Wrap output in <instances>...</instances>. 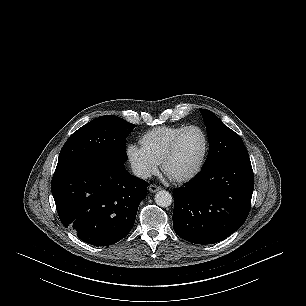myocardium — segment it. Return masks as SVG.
I'll use <instances>...</instances> for the list:
<instances>
[{
	"instance_id": "obj_1",
	"label": "myocardium",
	"mask_w": 306,
	"mask_h": 306,
	"mask_svg": "<svg viewBox=\"0 0 306 306\" xmlns=\"http://www.w3.org/2000/svg\"><path fill=\"white\" fill-rule=\"evenodd\" d=\"M190 129H197L201 132V134L203 135L204 138V151L201 157V160L199 162V164L197 165V167L189 174L181 176V177H177V178H171L170 179L174 182L177 183H184V182H188L193 180L194 178H196L201 171L204 168V165L206 163L207 157H208V153H209V148H210V141H209V137L208 134L206 133V131L199 125H187L185 126L173 139L172 143L170 144L167 152L165 153L164 157L162 158L161 161V168L163 170V172L165 174L166 173V166L168 164V162L174 157V155L176 154L178 145L180 143V140L182 139L183 135Z\"/></svg>"
}]
</instances>
